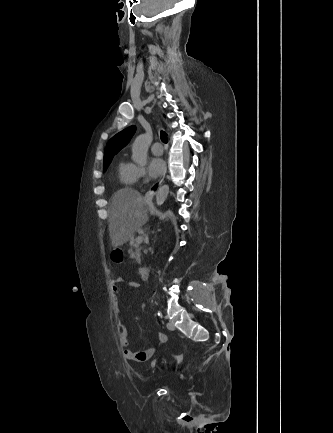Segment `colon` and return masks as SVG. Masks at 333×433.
<instances>
[{"mask_svg":"<svg viewBox=\"0 0 333 433\" xmlns=\"http://www.w3.org/2000/svg\"><path fill=\"white\" fill-rule=\"evenodd\" d=\"M111 256L113 258L114 265H123L124 263V251L123 249H112ZM157 360L153 361L152 365H155Z\"/></svg>","mask_w":333,"mask_h":433,"instance_id":"5ec220e1","label":"colon"}]
</instances>
